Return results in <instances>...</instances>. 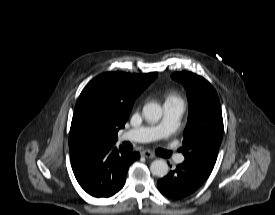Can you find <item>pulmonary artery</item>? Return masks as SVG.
Listing matches in <instances>:
<instances>
[{
	"mask_svg": "<svg viewBox=\"0 0 275 215\" xmlns=\"http://www.w3.org/2000/svg\"><path fill=\"white\" fill-rule=\"evenodd\" d=\"M164 118L162 122L156 126L139 127L124 132L121 136L123 140L133 142H149L156 139H167L174 132L180 118L185 110V105L181 100H173L164 103ZM170 156L179 161H183V156L175 154L173 150H167Z\"/></svg>",
	"mask_w": 275,
	"mask_h": 215,
	"instance_id": "e3ab8cb5",
	"label": "pulmonary artery"
}]
</instances>
